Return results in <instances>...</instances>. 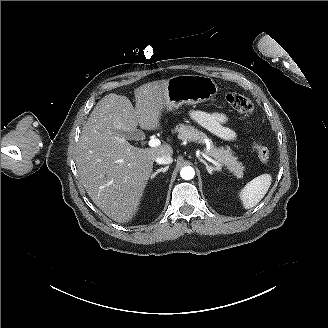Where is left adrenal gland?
Returning a JSON list of instances; mask_svg holds the SVG:
<instances>
[{
    "label": "left adrenal gland",
    "instance_id": "obj_1",
    "mask_svg": "<svg viewBox=\"0 0 328 328\" xmlns=\"http://www.w3.org/2000/svg\"><path fill=\"white\" fill-rule=\"evenodd\" d=\"M201 162L206 166L207 171L212 174L213 170H217L216 168L209 166L208 163L205 160H201Z\"/></svg>",
    "mask_w": 328,
    "mask_h": 328
}]
</instances>
